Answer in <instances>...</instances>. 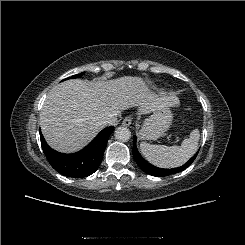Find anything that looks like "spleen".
I'll return each mask as SVG.
<instances>
[{
  "label": "spleen",
  "mask_w": 245,
  "mask_h": 245,
  "mask_svg": "<svg viewBox=\"0 0 245 245\" xmlns=\"http://www.w3.org/2000/svg\"><path fill=\"white\" fill-rule=\"evenodd\" d=\"M200 133L198 129L190 133L189 138L182 141L181 146L140 144V150L152 164L162 168H174L187 162L198 149Z\"/></svg>",
  "instance_id": "1"
}]
</instances>
